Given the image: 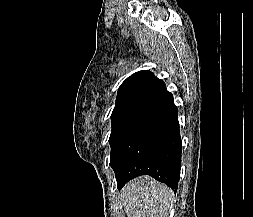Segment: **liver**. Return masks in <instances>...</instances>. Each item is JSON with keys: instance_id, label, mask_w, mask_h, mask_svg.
<instances>
[{"instance_id": "1", "label": "liver", "mask_w": 253, "mask_h": 217, "mask_svg": "<svg viewBox=\"0 0 253 217\" xmlns=\"http://www.w3.org/2000/svg\"><path fill=\"white\" fill-rule=\"evenodd\" d=\"M173 192L150 176L128 182L121 190L127 217H167Z\"/></svg>"}]
</instances>
